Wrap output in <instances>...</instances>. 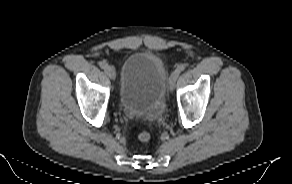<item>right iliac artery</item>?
<instances>
[{
	"mask_svg": "<svg viewBox=\"0 0 292 184\" xmlns=\"http://www.w3.org/2000/svg\"><path fill=\"white\" fill-rule=\"evenodd\" d=\"M99 66L102 68V69H106L108 67V64L105 62V61H101L99 62Z\"/></svg>",
	"mask_w": 292,
	"mask_h": 184,
	"instance_id": "82829eb1",
	"label": "right iliac artery"
}]
</instances>
